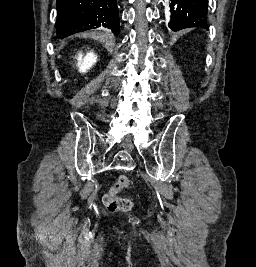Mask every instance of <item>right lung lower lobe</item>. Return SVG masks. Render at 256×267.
<instances>
[{
	"instance_id": "98d812e1",
	"label": "right lung lower lobe",
	"mask_w": 256,
	"mask_h": 267,
	"mask_svg": "<svg viewBox=\"0 0 256 267\" xmlns=\"http://www.w3.org/2000/svg\"><path fill=\"white\" fill-rule=\"evenodd\" d=\"M117 0H57L55 28L60 38L100 26L120 32Z\"/></svg>"
}]
</instances>
